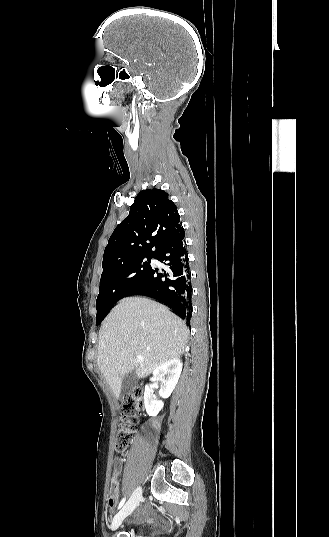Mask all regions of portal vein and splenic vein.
<instances>
[{"label": "portal vein and splenic vein", "mask_w": 329, "mask_h": 537, "mask_svg": "<svg viewBox=\"0 0 329 537\" xmlns=\"http://www.w3.org/2000/svg\"><path fill=\"white\" fill-rule=\"evenodd\" d=\"M136 359H137L138 362H143L144 361V357L141 356V355H137Z\"/></svg>", "instance_id": "1"}]
</instances>
